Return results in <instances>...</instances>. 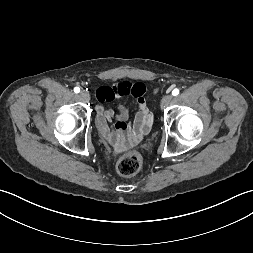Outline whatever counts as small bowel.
Returning a JSON list of instances; mask_svg holds the SVG:
<instances>
[{
    "label": "small bowel",
    "mask_w": 253,
    "mask_h": 253,
    "mask_svg": "<svg viewBox=\"0 0 253 253\" xmlns=\"http://www.w3.org/2000/svg\"><path fill=\"white\" fill-rule=\"evenodd\" d=\"M146 87L142 83L122 81L112 87L103 86L96 91L99 102L112 101L126 95L133 96L137 101L138 111L132 122H128L129 111L120 105L119 112L106 110L100 104L96 106L98 128L102 136L119 153L135 145L152 125V114L145 100Z\"/></svg>",
    "instance_id": "1"
}]
</instances>
